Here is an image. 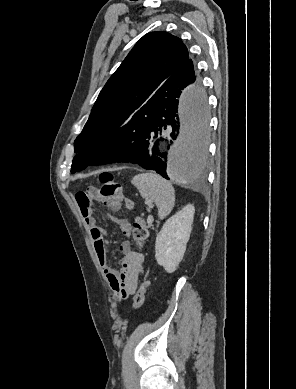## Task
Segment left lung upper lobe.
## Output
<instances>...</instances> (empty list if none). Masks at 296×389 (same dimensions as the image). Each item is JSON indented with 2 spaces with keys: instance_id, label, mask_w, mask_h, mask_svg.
Instances as JSON below:
<instances>
[{
  "instance_id": "1",
  "label": "left lung upper lobe",
  "mask_w": 296,
  "mask_h": 389,
  "mask_svg": "<svg viewBox=\"0 0 296 389\" xmlns=\"http://www.w3.org/2000/svg\"><path fill=\"white\" fill-rule=\"evenodd\" d=\"M193 75L200 81L182 41L166 32L144 35L129 52L101 90L85 124L75 140L71 173L98 165V152L111 135L142 107L170 78Z\"/></svg>"
}]
</instances>
